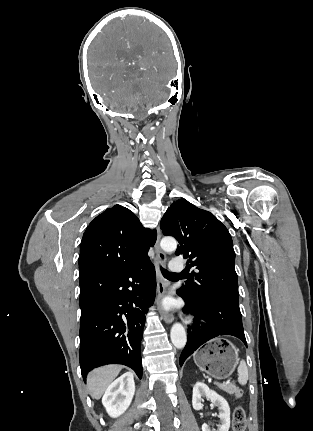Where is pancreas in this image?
Masks as SVG:
<instances>
[{
	"label": "pancreas",
	"mask_w": 313,
	"mask_h": 431,
	"mask_svg": "<svg viewBox=\"0 0 313 431\" xmlns=\"http://www.w3.org/2000/svg\"><path fill=\"white\" fill-rule=\"evenodd\" d=\"M219 388L229 394H235L236 396H240L242 391L238 389L234 384H222L219 385Z\"/></svg>",
	"instance_id": "cf45deb5"
}]
</instances>
